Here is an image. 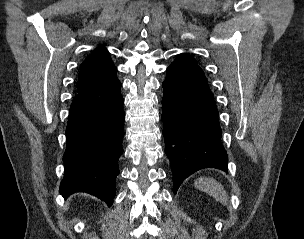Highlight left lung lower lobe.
Listing matches in <instances>:
<instances>
[{"instance_id":"0a47b994","label":"left lung lower lobe","mask_w":304,"mask_h":239,"mask_svg":"<svg viewBox=\"0 0 304 239\" xmlns=\"http://www.w3.org/2000/svg\"><path fill=\"white\" fill-rule=\"evenodd\" d=\"M166 71L163 135L176 193L183 180L200 169L226 171L227 153L221 144L217 107L202 69L181 55Z\"/></svg>"}]
</instances>
